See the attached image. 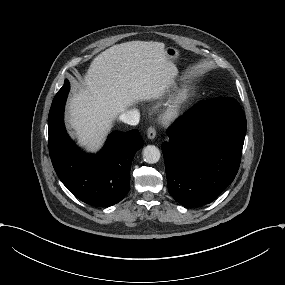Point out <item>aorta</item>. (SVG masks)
Returning a JSON list of instances; mask_svg holds the SVG:
<instances>
[{
    "label": "aorta",
    "mask_w": 285,
    "mask_h": 285,
    "mask_svg": "<svg viewBox=\"0 0 285 285\" xmlns=\"http://www.w3.org/2000/svg\"><path fill=\"white\" fill-rule=\"evenodd\" d=\"M160 150L154 145H148L143 149L144 161L149 164L157 163L160 159Z\"/></svg>",
    "instance_id": "obj_1"
}]
</instances>
